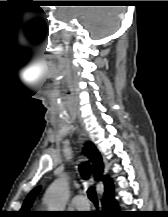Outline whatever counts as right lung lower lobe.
Returning <instances> with one entry per match:
<instances>
[{
	"label": "right lung lower lobe",
	"mask_w": 168,
	"mask_h": 217,
	"mask_svg": "<svg viewBox=\"0 0 168 217\" xmlns=\"http://www.w3.org/2000/svg\"><path fill=\"white\" fill-rule=\"evenodd\" d=\"M103 211L101 217H126L127 215L119 211V206L114 199L113 192L103 198Z\"/></svg>",
	"instance_id": "obj_1"
}]
</instances>
